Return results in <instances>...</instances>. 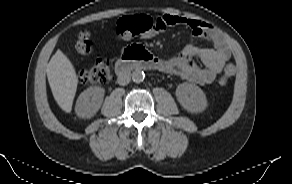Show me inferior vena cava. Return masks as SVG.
Listing matches in <instances>:
<instances>
[{
  "instance_id": "inferior-vena-cava-1",
  "label": "inferior vena cava",
  "mask_w": 292,
  "mask_h": 184,
  "mask_svg": "<svg viewBox=\"0 0 292 184\" xmlns=\"http://www.w3.org/2000/svg\"><path fill=\"white\" fill-rule=\"evenodd\" d=\"M131 80V74L129 71H124V72H121L119 75H118V78H117V82L119 85H127Z\"/></svg>"
}]
</instances>
